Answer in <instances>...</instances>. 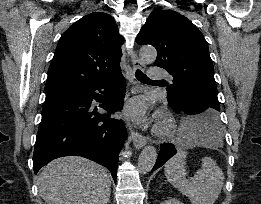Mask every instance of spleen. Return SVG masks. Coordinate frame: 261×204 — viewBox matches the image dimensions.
Masks as SVG:
<instances>
[{"instance_id": "3e777b00", "label": "spleen", "mask_w": 261, "mask_h": 204, "mask_svg": "<svg viewBox=\"0 0 261 204\" xmlns=\"http://www.w3.org/2000/svg\"><path fill=\"white\" fill-rule=\"evenodd\" d=\"M201 117H196L181 127L187 138V146L209 147L214 137L199 130ZM187 152L180 150L165 164V177L173 187L189 198L192 204H214L223 186L224 175L210 157L202 158V166L194 177L186 179L185 159Z\"/></svg>"}]
</instances>
